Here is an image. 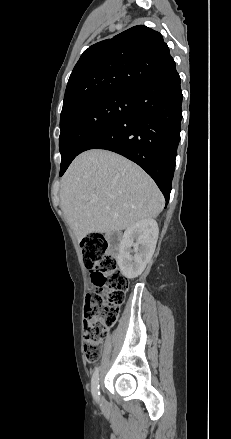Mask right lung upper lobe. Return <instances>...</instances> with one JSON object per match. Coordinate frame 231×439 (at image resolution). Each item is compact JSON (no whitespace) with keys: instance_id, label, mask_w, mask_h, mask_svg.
I'll list each match as a JSON object with an SVG mask.
<instances>
[{"instance_id":"right-lung-upper-lobe-1","label":"right lung upper lobe","mask_w":231,"mask_h":439,"mask_svg":"<svg viewBox=\"0 0 231 439\" xmlns=\"http://www.w3.org/2000/svg\"><path fill=\"white\" fill-rule=\"evenodd\" d=\"M174 66L162 35L134 26L84 51L70 75L61 113L99 95L134 93Z\"/></svg>"}]
</instances>
